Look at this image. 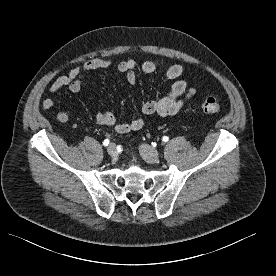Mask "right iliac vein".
<instances>
[{
  "instance_id": "obj_1",
  "label": "right iliac vein",
  "mask_w": 276,
  "mask_h": 276,
  "mask_svg": "<svg viewBox=\"0 0 276 276\" xmlns=\"http://www.w3.org/2000/svg\"><path fill=\"white\" fill-rule=\"evenodd\" d=\"M108 153L111 156H116L117 155L116 148L113 144H110V146L108 147Z\"/></svg>"
}]
</instances>
